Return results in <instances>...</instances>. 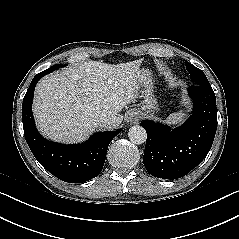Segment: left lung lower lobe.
<instances>
[{
  "label": "left lung lower lobe",
  "mask_w": 239,
  "mask_h": 239,
  "mask_svg": "<svg viewBox=\"0 0 239 239\" xmlns=\"http://www.w3.org/2000/svg\"><path fill=\"white\" fill-rule=\"evenodd\" d=\"M193 112L181 126L171 129L142 121L147 132L143 162L146 170L162 179H178L198 166L211 149L216 129V97L211 86L188 88Z\"/></svg>",
  "instance_id": "1"
}]
</instances>
